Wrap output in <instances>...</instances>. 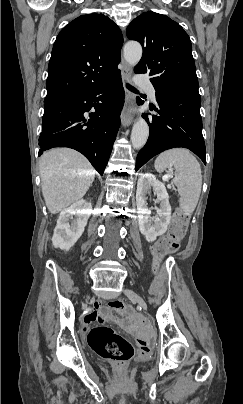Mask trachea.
I'll return each mask as SVG.
<instances>
[{
	"instance_id": "trachea-1",
	"label": "trachea",
	"mask_w": 243,
	"mask_h": 404,
	"mask_svg": "<svg viewBox=\"0 0 243 404\" xmlns=\"http://www.w3.org/2000/svg\"><path fill=\"white\" fill-rule=\"evenodd\" d=\"M127 89L136 91L135 87H132V85L126 84Z\"/></svg>"
}]
</instances>
